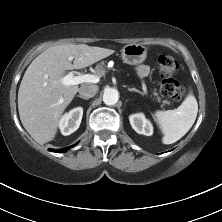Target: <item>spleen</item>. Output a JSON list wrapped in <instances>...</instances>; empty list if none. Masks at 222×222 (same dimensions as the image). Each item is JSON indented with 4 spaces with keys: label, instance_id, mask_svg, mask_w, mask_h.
Masks as SVG:
<instances>
[{
    "label": "spleen",
    "instance_id": "1",
    "mask_svg": "<svg viewBox=\"0 0 222 222\" xmlns=\"http://www.w3.org/2000/svg\"><path fill=\"white\" fill-rule=\"evenodd\" d=\"M197 112L198 103L192 92L177 109L156 111L154 116L163 133L162 142L172 144L181 139L194 124Z\"/></svg>",
    "mask_w": 222,
    "mask_h": 222
}]
</instances>
